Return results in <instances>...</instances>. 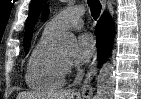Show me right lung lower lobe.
<instances>
[{"mask_svg": "<svg viewBox=\"0 0 141 99\" xmlns=\"http://www.w3.org/2000/svg\"><path fill=\"white\" fill-rule=\"evenodd\" d=\"M114 23L107 13H104L97 25V46L99 61L105 62L111 52L114 41Z\"/></svg>", "mask_w": 141, "mask_h": 99, "instance_id": "right-lung-lower-lobe-1", "label": "right lung lower lobe"}]
</instances>
